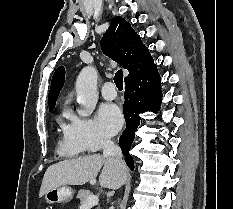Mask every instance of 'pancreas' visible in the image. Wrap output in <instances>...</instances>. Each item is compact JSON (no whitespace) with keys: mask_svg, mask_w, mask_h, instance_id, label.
<instances>
[{"mask_svg":"<svg viewBox=\"0 0 233 209\" xmlns=\"http://www.w3.org/2000/svg\"><path fill=\"white\" fill-rule=\"evenodd\" d=\"M90 196H92V193L89 190H80L77 194L80 205L82 206Z\"/></svg>","mask_w":233,"mask_h":209,"instance_id":"obj_1","label":"pancreas"}]
</instances>
